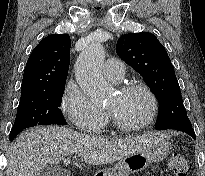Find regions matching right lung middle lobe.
Returning a JSON list of instances; mask_svg holds the SVG:
<instances>
[{"label":"right lung middle lobe","instance_id":"dd1d6c3e","mask_svg":"<svg viewBox=\"0 0 205 176\" xmlns=\"http://www.w3.org/2000/svg\"><path fill=\"white\" fill-rule=\"evenodd\" d=\"M65 83L21 96L14 125L9 140L14 139L22 130L37 126L59 124L66 125L60 106Z\"/></svg>","mask_w":205,"mask_h":176}]
</instances>
